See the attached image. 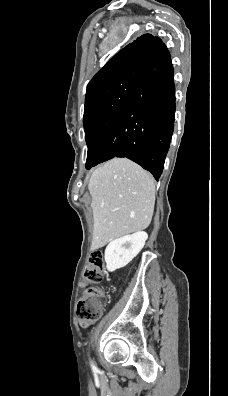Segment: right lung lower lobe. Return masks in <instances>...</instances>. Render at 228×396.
Here are the masks:
<instances>
[{
	"label": "right lung lower lobe",
	"instance_id": "1",
	"mask_svg": "<svg viewBox=\"0 0 228 396\" xmlns=\"http://www.w3.org/2000/svg\"><path fill=\"white\" fill-rule=\"evenodd\" d=\"M143 74L115 118L93 166L126 157L159 179L175 115L170 54L162 44L143 63Z\"/></svg>",
	"mask_w": 228,
	"mask_h": 396
}]
</instances>
